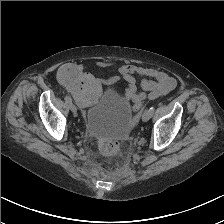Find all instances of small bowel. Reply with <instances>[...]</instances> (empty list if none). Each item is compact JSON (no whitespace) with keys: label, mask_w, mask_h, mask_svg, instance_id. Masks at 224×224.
Segmentation results:
<instances>
[{"label":"small bowel","mask_w":224,"mask_h":224,"mask_svg":"<svg viewBox=\"0 0 224 224\" xmlns=\"http://www.w3.org/2000/svg\"><path fill=\"white\" fill-rule=\"evenodd\" d=\"M91 67L114 68L119 77L127 83L125 98L137 104L141 103L146 96L156 99L170 93L176 87V80L172 76L154 68L133 64L116 65L106 61H96ZM135 75L143 77L141 82L143 92H139L137 89Z\"/></svg>","instance_id":"1"}]
</instances>
